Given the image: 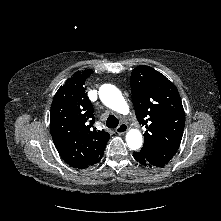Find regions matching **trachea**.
I'll return each instance as SVG.
<instances>
[{"instance_id": "obj_1", "label": "trachea", "mask_w": 221, "mask_h": 221, "mask_svg": "<svg viewBox=\"0 0 221 221\" xmlns=\"http://www.w3.org/2000/svg\"><path fill=\"white\" fill-rule=\"evenodd\" d=\"M118 124H119V120L114 115H110L106 120V126L108 128H111V129L117 128Z\"/></svg>"}]
</instances>
